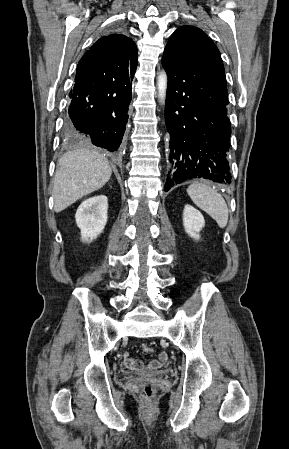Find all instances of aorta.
<instances>
[{"label":"aorta","mask_w":289,"mask_h":449,"mask_svg":"<svg viewBox=\"0 0 289 449\" xmlns=\"http://www.w3.org/2000/svg\"><path fill=\"white\" fill-rule=\"evenodd\" d=\"M167 74L162 70L157 78L158 97L161 103H164L167 91Z\"/></svg>","instance_id":"aorta-1"}]
</instances>
